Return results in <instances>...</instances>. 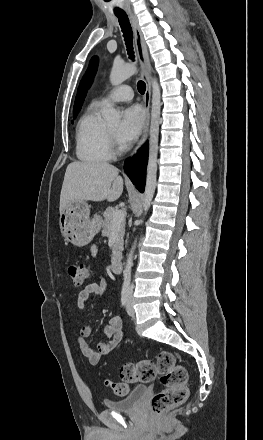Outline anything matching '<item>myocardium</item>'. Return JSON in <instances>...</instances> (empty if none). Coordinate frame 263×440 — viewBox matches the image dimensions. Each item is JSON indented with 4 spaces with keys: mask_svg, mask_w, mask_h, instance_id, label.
<instances>
[{
    "mask_svg": "<svg viewBox=\"0 0 263 440\" xmlns=\"http://www.w3.org/2000/svg\"><path fill=\"white\" fill-rule=\"evenodd\" d=\"M107 132L110 138L111 147H113L116 151H118L115 134L109 128H107Z\"/></svg>",
    "mask_w": 263,
    "mask_h": 440,
    "instance_id": "myocardium-1",
    "label": "myocardium"
}]
</instances>
